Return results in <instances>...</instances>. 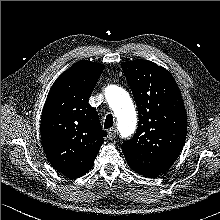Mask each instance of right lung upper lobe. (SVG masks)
I'll list each match as a JSON object with an SVG mask.
<instances>
[{"label": "right lung upper lobe", "mask_w": 220, "mask_h": 220, "mask_svg": "<svg viewBox=\"0 0 220 220\" xmlns=\"http://www.w3.org/2000/svg\"><path fill=\"white\" fill-rule=\"evenodd\" d=\"M104 66L72 65L53 84L41 118V140L53 168L69 178L88 172L104 142L98 113L88 103Z\"/></svg>", "instance_id": "right-lung-upper-lobe-1"}]
</instances>
